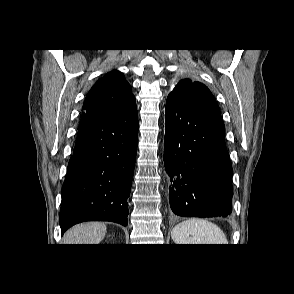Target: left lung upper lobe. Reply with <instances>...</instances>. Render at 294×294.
<instances>
[{
    "label": "left lung upper lobe",
    "mask_w": 294,
    "mask_h": 294,
    "mask_svg": "<svg viewBox=\"0 0 294 294\" xmlns=\"http://www.w3.org/2000/svg\"><path fill=\"white\" fill-rule=\"evenodd\" d=\"M168 98H172L189 107H218L210 90L204 84L191 78L181 79L168 95Z\"/></svg>",
    "instance_id": "5c2ea615"
}]
</instances>
